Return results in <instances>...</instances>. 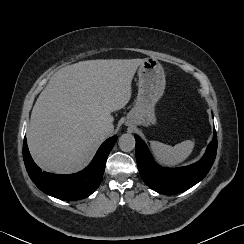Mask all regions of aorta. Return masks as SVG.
Wrapping results in <instances>:
<instances>
[{
    "label": "aorta",
    "instance_id": "obj_1",
    "mask_svg": "<svg viewBox=\"0 0 244 244\" xmlns=\"http://www.w3.org/2000/svg\"><path fill=\"white\" fill-rule=\"evenodd\" d=\"M135 138L132 134L125 133L119 138L118 145L123 152H130L135 148Z\"/></svg>",
    "mask_w": 244,
    "mask_h": 244
}]
</instances>
